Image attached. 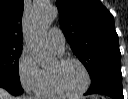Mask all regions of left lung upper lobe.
<instances>
[{"label":"left lung upper lobe","instance_id":"obj_1","mask_svg":"<svg viewBox=\"0 0 128 99\" xmlns=\"http://www.w3.org/2000/svg\"><path fill=\"white\" fill-rule=\"evenodd\" d=\"M62 31L90 77L103 66H121L114 18L100 0H57Z\"/></svg>","mask_w":128,"mask_h":99}]
</instances>
